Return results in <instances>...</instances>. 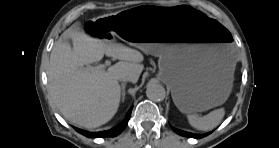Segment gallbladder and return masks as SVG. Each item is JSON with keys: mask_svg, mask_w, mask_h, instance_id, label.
<instances>
[{"mask_svg": "<svg viewBox=\"0 0 279 148\" xmlns=\"http://www.w3.org/2000/svg\"><path fill=\"white\" fill-rule=\"evenodd\" d=\"M67 42L71 43V40H67Z\"/></svg>", "mask_w": 279, "mask_h": 148, "instance_id": "bac80fb5", "label": "gallbladder"}]
</instances>
